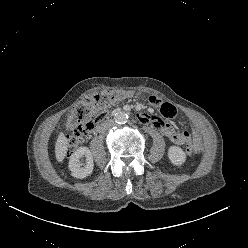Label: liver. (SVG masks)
<instances>
[{
	"instance_id": "liver-1",
	"label": "liver",
	"mask_w": 248,
	"mask_h": 248,
	"mask_svg": "<svg viewBox=\"0 0 248 248\" xmlns=\"http://www.w3.org/2000/svg\"><path fill=\"white\" fill-rule=\"evenodd\" d=\"M67 153V141L64 134L60 133L55 144V157L58 162L63 161Z\"/></svg>"
}]
</instances>
